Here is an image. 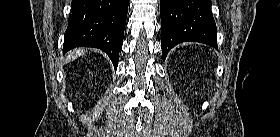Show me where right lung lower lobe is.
I'll return each mask as SVG.
<instances>
[{
	"instance_id": "obj_1",
	"label": "right lung lower lobe",
	"mask_w": 280,
	"mask_h": 137,
	"mask_svg": "<svg viewBox=\"0 0 280 137\" xmlns=\"http://www.w3.org/2000/svg\"><path fill=\"white\" fill-rule=\"evenodd\" d=\"M71 9L63 52L75 47H95L107 53L116 69L128 0H72Z\"/></svg>"
}]
</instances>
